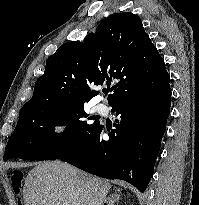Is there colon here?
<instances>
[{
    "label": "colon",
    "mask_w": 199,
    "mask_h": 205,
    "mask_svg": "<svg viewBox=\"0 0 199 205\" xmlns=\"http://www.w3.org/2000/svg\"><path fill=\"white\" fill-rule=\"evenodd\" d=\"M21 179H22V174L21 173L13 175V181L15 183L18 182V181H21Z\"/></svg>",
    "instance_id": "1"
}]
</instances>
